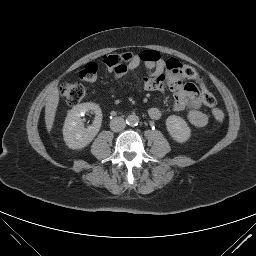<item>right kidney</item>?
<instances>
[{
	"label": "right kidney",
	"instance_id": "obj_1",
	"mask_svg": "<svg viewBox=\"0 0 256 256\" xmlns=\"http://www.w3.org/2000/svg\"><path fill=\"white\" fill-rule=\"evenodd\" d=\"M93 112L95 120L92 126L85 128L81 119L86 112ZM102 122V112L95 103L75 105L67 114L63 127V137L66 145L71 149L86 147L98 134Z\"/></svg>",
	"mask_w": 256,
	"mask_h": 256
}]
</instances>
